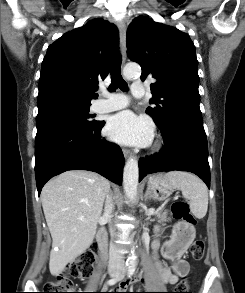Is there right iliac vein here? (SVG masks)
Returning a JSON list of instances; mask_svg holds the SVG:
<instances>
[{"mask_svg": "<svg viewBox=\"0 0 245 293\" xmlns=\"http://www.w3.org/2000/svg\"><path fill=\"white\" fill-rule=\"evenodd\" d=\"M112 276H113V277H115V276H116V274H112Z\"/></svg>", "mask_w": 245, "mask_h": 293, "instance_id": "1", "label": "right iliac vein"}]
</instances>
